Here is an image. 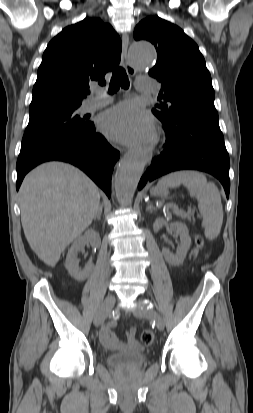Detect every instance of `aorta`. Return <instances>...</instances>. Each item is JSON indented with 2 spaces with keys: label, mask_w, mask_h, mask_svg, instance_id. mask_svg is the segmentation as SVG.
Segmentation results:
<instances>
[{
  "label": "aorta",
  "mask_w": 253,
  "mask_h": 413,
  "mask_svg": "<svg viewBox=\"0 0 253 413\" xmlns=\"http://www.w3.org/2000/svg\"><path fill=\"white\" fill-rule=\"evenodd\" d=\"M131 61L136 69L152 67L156 51L147 41H134L129 48ZM146 165V158L139 150L128 152L120 161L115 177V193L121 204L131 202Z\"/></svg>",
  "instance_id": "obj_1"
}]
</instances>
